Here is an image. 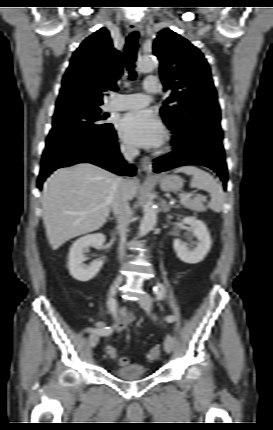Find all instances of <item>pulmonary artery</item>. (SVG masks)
Returning a JSON list of instances; mask_svg holds the SVG:
<instances>
[{
    "mask_svg": "<svg viewBox=\"0 0 273 430\" xmlns=\"http://www.w3.org/2000/svg\"><path fill=\"white\" fill-rule=\"evenodd\" d=\"M145 93H136L128 95H117L107 105L106 109L109 111H123L139 109L147 106L151 97L149 94H156L159 92V84L155 78H147L144 83Z\"/></svg>",
    "mask_w": 273,
    "mask_h": 430,
    "instance_id": "1",
    "label": "pulmonary artery"
}]
</instances>
